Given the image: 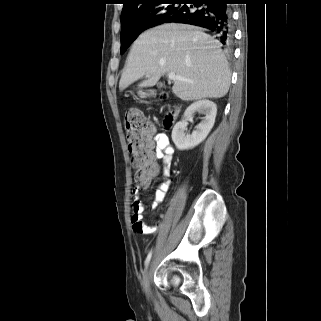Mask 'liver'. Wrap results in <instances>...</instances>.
Instances as JSON below:
<instances>
[{
    "label": "liver",
    "mask_w": 321,
    "mask_h": 321,
    "mask_svg": "<svg viewBox=\"0 0 321 321\" xmlns=\"http://www.w3.org/2000/svg\"><path fill=\"white\" fill-rule=\"evenodd\" d=\"M166 73L187 79L175 80L172 87L185 101L221 98L230 86L219 41L190 25L163 24L142 33L132 45L119 88L122 91L145 75L139 87H152Z\"/></svg>",
    "instance_id": "1"
}]
</instances>
